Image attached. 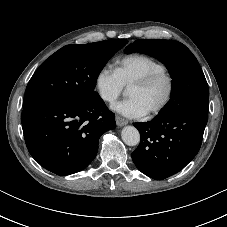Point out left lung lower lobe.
Instances as JSON below:
<instances>
[{"label": "left lung lower lobe", "mask_w": 227, "mask_h": 227, "mask_svg": "<svg viewBox=\"0 0 227 227\" xmlns=\"http://www.w3.org/2000/svg\"><path fill=\"white\" fill-rule=\"evenodd\" d=\"M207 116L179 112L134 123L141 135L132 153L136 167L145 175L163 180L182 170L198 153Z\"/></svg>", "instance_id": "left-lung-lower-lobe-1"}]
</instances>
